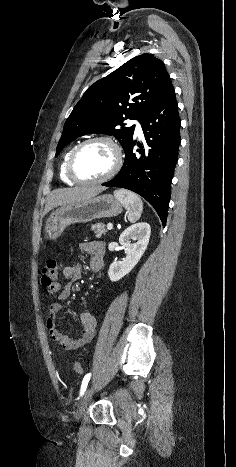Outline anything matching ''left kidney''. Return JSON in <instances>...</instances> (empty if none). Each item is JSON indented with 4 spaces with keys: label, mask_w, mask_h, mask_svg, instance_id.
<instances>
[{
    "label": "left kidney",
    "mask_w": 236,
    "mask_h": 467,
    "mask_svg": "<svg viewBox=\"0 0 236 467\" xmlns=\"http://www.w3.org/2000/svg\"><path fill=\"white\" fill-rule=\"evenodd\" d=\"M151 228L147 222H140L128 227L119 237V243L125 247L126 258L113 262L108 270L112 282L127 275L139 262L149 243ZM131 240L135 241L131 243Z\"/></svg>",
    "instance_id": "left-kidney-1"
}]
</instances>
